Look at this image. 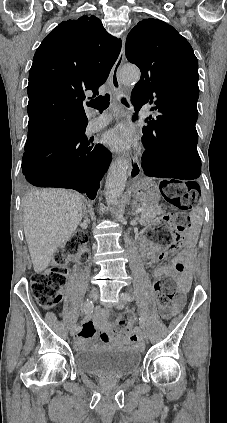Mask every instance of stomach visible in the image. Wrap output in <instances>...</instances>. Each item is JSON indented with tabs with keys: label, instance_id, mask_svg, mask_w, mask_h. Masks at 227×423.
I'll return each mask as SVG.
<instances>
[{
	"label": "stomach",
	"instance_id": "0dacf381",
	"mask_svg": "<svg viewBox=\"0 0 227 423\" xmlns=\"http://www.w3.org/2000/svg\"><path fill=\"white\" fill-rule=\"evenodd\" d=\"M132 194L137 202L146 204V206H154L160 200L159 188L156 182H152L149 178H144V180L133 184Z\"/></svg>",
	"mask_w": 227,
	"mask_h": 423
}]
</instances>
